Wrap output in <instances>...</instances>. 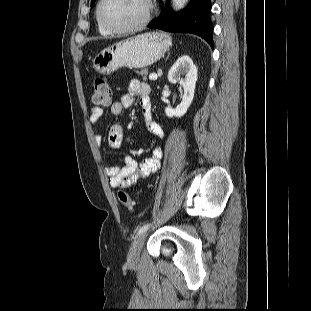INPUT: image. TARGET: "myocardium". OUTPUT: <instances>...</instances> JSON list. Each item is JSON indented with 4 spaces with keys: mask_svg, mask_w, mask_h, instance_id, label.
Wrapping results in <instances>:
<instances>
[{
    "mask_svg": "<svg viewBox=\"0 0 311 311\" xmlns=\"http://www.w3.org/2000/svg\"><path fill=\"white\" fill-rule=\"evenodd\" d=\"M105 2H106V0H100L98 2L97 8H96V17H97L98 21L100 22V24L111 33H116V34L134 33V32H137V31H140L141 29H143L150 21L152 9H153V4H152L151 0H145L146 9H145V13H144V16L142 17V19L139 22H137L136 24L129 26V27H126V28L115 27V26L111 25L110 23H108L103 18L102 8H103V5Z\"/></svg>",
    "mask_w": 311,
    "mask_h": 311,
    "instance_id": "1",
    "label": "myocardium"
}]
</instances>
